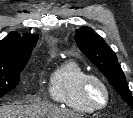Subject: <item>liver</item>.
Returning a JSON list of instances; mask_svg holds the SVG:
<instances>
[{
    "label": "liver",
    "mask_w": 133,
    "mask_h": 118,
    "mask_svg": "<svg viewBox=\"0 0 133 118\" xmlns=\"http://www.w3.org/2000/svg\"><path fill=\"white\" fill-rule=\"evenodd\" d=\"M0 118H82L71 110L48 104L0 106Z\"/></svg>",
    "instance_id": "6515ba94"
}]
</instances>
